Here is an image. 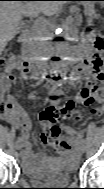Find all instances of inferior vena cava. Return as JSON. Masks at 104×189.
I'll return each instance as SVG.
<instances>
[{
  "label": "inferior vena cava",
  "instance_id": "1",
  "mask_svg": "<svg viewBox=\"0 0 104 189\" xmlns=\"http://www.w3.org/2000/svg\"><path fill=\"white\" fill-rule=\"evenodd\" d=\"M48 35L47 21L44 18H38L35 20L32 26V36L35 43V54L38 58L39 65H42L41 58L47 54L49 42L46 40ZM44 71V70H42ZM42 77L47 76V73H41Z\"/></svg>",
  "mask_w": 104,
  "mask_h": 189
}]
</instances>
